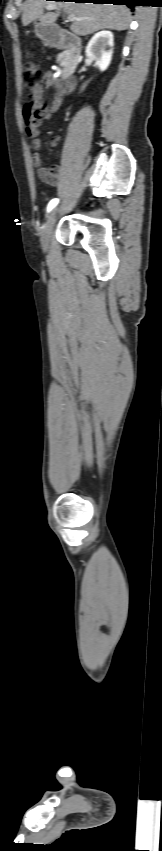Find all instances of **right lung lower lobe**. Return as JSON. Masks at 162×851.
I'll return each instance as SVG.
<instances>
[{
  "mask_svg": "<svg viewBox=\"0 0 162 851\" xmlns=\"http://www.w3.org/2000/svg\"><path fill=\"white\" fill-rule=\"evenodd\" d=\"M61 1H62V0H61ZM63 1H65V0H63ZM74 1H75V2H85V3H95V4H109V3H112V4H114V5H117V4H118V5H127V6H129L131 9H133V6H135V5H136V4H135V3H136V2H135L136 0H74Z\"/></svg>",
  "mask_w": 162,
  "mask_h": 851,
  "instance_id": "98d812e1",
  "label": "right lung lower lobe"
}]
</instances>
